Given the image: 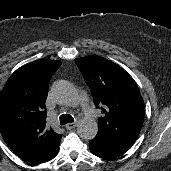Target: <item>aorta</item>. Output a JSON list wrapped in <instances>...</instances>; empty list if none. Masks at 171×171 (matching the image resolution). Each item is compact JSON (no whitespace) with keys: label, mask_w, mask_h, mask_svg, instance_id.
Masks as SVG:
<instances>
[{"label":"aorta","mask_w":171,"mask_h":171,"mask_svg":"<svg viewBox=\"0 0 171 171\" xmlns=\"http://www.w3.org/2000/svg\"><path fill=\"white\" fill-rule=\"evenodd\" d=\"M55 99L64 105L74 106L78 102V94L71 84L65 81L56 83L53 87ZM98 132V125L94 119L83 118L77 127L78 135L84 140H92Z\"/></svg>","instance_id":"762f6f07"}]
</instances>
